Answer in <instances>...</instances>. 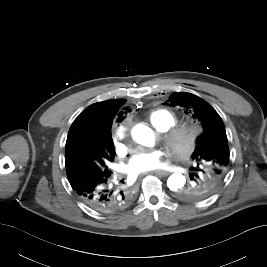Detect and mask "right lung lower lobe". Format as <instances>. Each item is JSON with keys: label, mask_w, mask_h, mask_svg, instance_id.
I'll use <instances>...</instances> for the list:
<instances>
[{"label": "right lung lower lobe", "mask_w": 267, "mask_h": 267, "mask_svg": "<svg viewBox=\"0 0 267 267\" xmlns=\"http://www.w3.org/2000/svg\"><path fill=\"white\" fill-rule=\"evenodd\" d=\"M72 189L91 208L103 213L124 210L134 199L133 190L116 189L112 183V173L82 175L69 181Z\"/></svg>", "instance_id": "obj_1"}]
</instances>
